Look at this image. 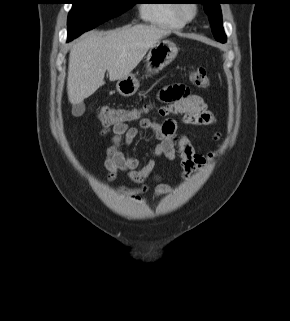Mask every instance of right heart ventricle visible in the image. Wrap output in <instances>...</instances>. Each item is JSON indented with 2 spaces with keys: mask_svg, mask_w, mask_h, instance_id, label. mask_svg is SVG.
<instances>
[{
  "mask_svg": "<svg viewBox=\"0 0 290 321\" xmlns=\"http://www.w3.org/2000/svg\"><path fill=\"white\" fill-rule=\"evenodd\" d=\"M175 0H153L141 6V17L145 22L171 29H180L185 23L176 13Z\"/></svg>",
  "mask_w": 290,
  "mask_h": 321,
  "instance_id": "1",
  "label": "right heart ventricle"
}]
</instances>
